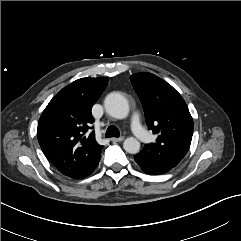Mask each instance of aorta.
<instances>
[{
	"instance_id": "aorta-1",
	"label": "aorta",
	"mask_w": 241,
	"mask_h": 241,
	"mask_svg": "<svg viewBox=\"0 0 241 241\" xmlns=\"http://www.w3.org/2000/svg\"><path fill=\"white\" fill-rule=\"evenodd\" d=\"M104 106L106 112L116 119H124L129 114V104L126 98L116 92L106 96ZM123 148L130 154H136L140 150V142L133 137L126 138L123 143Z\"/></svg>"
}]
</instances>
